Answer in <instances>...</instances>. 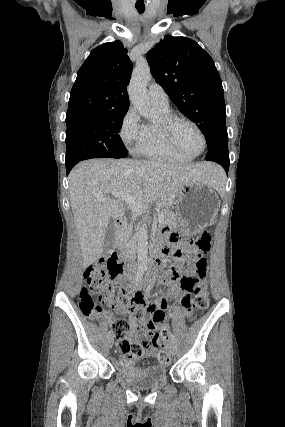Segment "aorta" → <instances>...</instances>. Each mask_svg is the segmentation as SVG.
<instances>
[{
  "label": "aorta",
  "mask_w": 285,
  "mask_h": 427,
  "mask_svg": "<svg viewBox=\"0 0 285 427\" xmlns=\"http://www.w3.org/2000/svg\"><path fill=\"white\" fill-rule=\"evenodd\" d=\"M151 79L150 67L147 63H137L128 85V95L132 105L145 118L153 117L146 87ZM148 231L146 224L141 225L138 233V265L146 269L148 262Z\"/></svg>",
  "instance_id": "obj_1"
}]
</instances>
